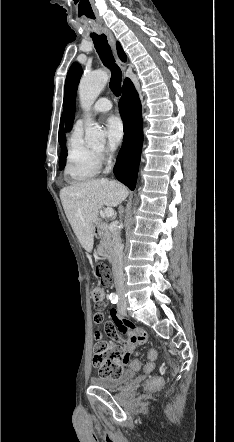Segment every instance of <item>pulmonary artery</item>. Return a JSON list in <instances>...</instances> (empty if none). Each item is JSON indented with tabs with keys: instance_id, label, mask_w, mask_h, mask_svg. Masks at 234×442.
<instances>
[{
	"instance_id": "pulmonary-artery-1",
	"label": "pulmonary artery",
	"mask_w": 234,
	"mask_h": 442,
	"mask_svg": "<svg viewBox=\"0 0 234 442\" xmlns=\"http://www.w3.org/2000/svg\"><path fill=\"white\" fill-rule=\"evenodd\" d=\"M111 108H112V103L108 98H104V97L100 98L94 103V105L91 109V115H95V114L102 113V112H107ZM84 120H85V117H80L77 120L75 127L82 129V127L84 125Z\"/></svg>"
}]
</instances>
